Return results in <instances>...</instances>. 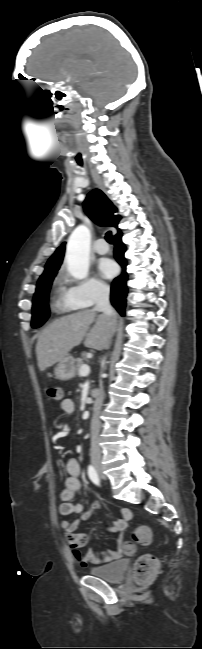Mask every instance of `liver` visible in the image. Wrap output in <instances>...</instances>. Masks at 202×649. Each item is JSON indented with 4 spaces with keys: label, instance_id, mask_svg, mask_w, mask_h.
I'll use <instances>...</instances> for the list:
<instances>
[{
    "label": "liver",
    "instance_id": "6515ba94",
    "mask_svg": "<svg viewBox=\"0 0 202 649\" xmlns=\"http://www.w3.org/2000/svg\"><path fill=\"white\" fill-rule=\"evenodd\" d=\"M95 325L90 330V325ZM115 326V317L101 314L97 316L95 309L56 319L44 328L36 344V356L40 371L65 358L68 353L78 346L86 336L84 345L88 348L103 350L108 347Z\"/></svg>",
    "mask_w": 202,
    "mask_h": 649
}]
</instances>
